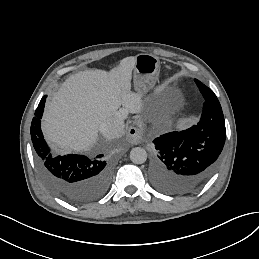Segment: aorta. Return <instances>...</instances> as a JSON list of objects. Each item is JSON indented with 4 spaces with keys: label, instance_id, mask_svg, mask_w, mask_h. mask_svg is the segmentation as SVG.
I'll return each instance as SVG.
<instances>
[{
    "label": "aorta",
    "instance_id": "aorta-1",
    "mask_svg": "<svg viewBox=\"0 0 259 259\" xmlns=\"http://www.w3.org/2000/svg\"><path fill=\"white\" fill-rule=\"evenodd\" d=\"M147 159V153L144 148L135 147L130 151V160L134 164H143Z\"/></svg>",
    "mask_w": 259,
    "mask_h": 259
}]
</instances>
